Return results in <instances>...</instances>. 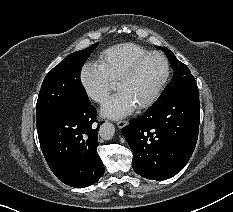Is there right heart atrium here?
I'll return each instance as SVG.
<instances>
[{"instance_id": "1", "label": "right heart atrium", "mask_w": 233, "mask_h": 212, "mask_svg": "<svg viewBox=\"0 0 233 212\" xmlns=\"http://www.w3.org/2000/svg\"><path fill=\"white\" fill-rule=\"evenodd\" d=\"M80 84L89 99L103 103L112 89V82L98 64L86 63L80 70Z\"/></svg>"}]
</instances>
